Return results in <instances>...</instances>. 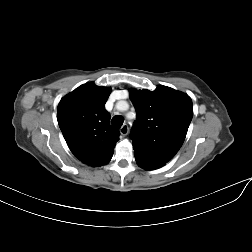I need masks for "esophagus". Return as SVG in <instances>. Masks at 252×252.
Wrapping results in <instances>:
<instances>
[{"label":"esophagus","mask_w":252,"mask_h":252,"mask_svg":"<svg viewBox=\"0 0 252 252\" xmlns=\"http://www.w3.org/2000/svg\"><path fill=\"white\" fill-rule=\"evenodd\" d=\"M129 132V127L127 124H123L122 127L120 128V133L125 136Z\"/></svg>","instance_id":"esophagus-1"}]
</instances>
